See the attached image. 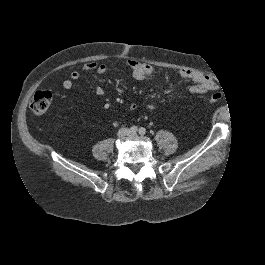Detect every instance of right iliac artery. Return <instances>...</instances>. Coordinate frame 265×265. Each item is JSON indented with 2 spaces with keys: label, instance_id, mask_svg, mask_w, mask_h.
Returning <instances> with one entry per match:
<instances>
[{
  "label": "right iliac artery",
  "instance_id": "obj_1",
  "mask_svg": "<svg viewBox=\"0 0 265 265\" xmlns=\"http://www.w3.org/2000/svg\"><path fill=\"white\" fill-rule=\"evenodd\" d=\"M137 130H138V129H137L136 126H132V127L130 128V132H132V133H135Z\"/></svg>",
  "mask_w": 265,
  "mask_h": 265
}]
</instances>
